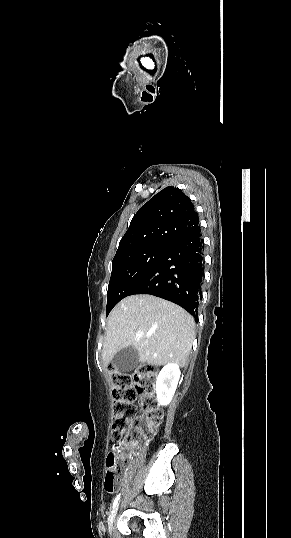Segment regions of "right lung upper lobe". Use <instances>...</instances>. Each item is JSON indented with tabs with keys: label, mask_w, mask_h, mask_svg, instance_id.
Wrapping results in <instances>:
<instances>
[{
	"label": "right lung upper lobe",
	"mask_w": 291,
	"mask_h": 538,
	"mask_svg": "<svg viewBox=\"0 0 291 538\" xmlns=\"http://www.w3.org/2000/svg\"><path fill=\"white\" fill-rule=\"evenodd\" d=\"M199 229L198 213L190 198L169 186L134 215L115 256L148 245L171 247Z\"/></svg>",
	"instance_id": "obj_1"
}]
</instances>
